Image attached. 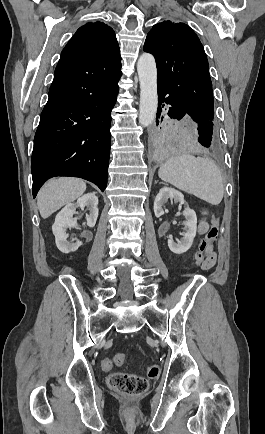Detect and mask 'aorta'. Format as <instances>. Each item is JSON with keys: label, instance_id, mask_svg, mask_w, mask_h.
<instances>
[{"label": "aorta", "instance_id": "762f6f07", "mask_svg": "<svg viewBox=\"0 0 265 434\" xmlns=\"http://www.w3.org/2000/svg\"><path fill=\"white\" fill-rule=\"evenodd\" d=\"M140 82L139 124L148 128L156 118L158 108L157 70L152 54H142L137 62Z\"/></svg>", "mask_w": 265, "mask_h": 434}]
</instances>
